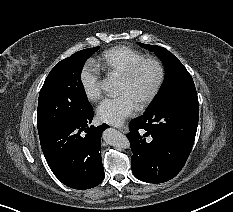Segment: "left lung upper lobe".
Returning <instances> with one entry per match:
<instances>
[{
	"label": "left lung upper lobe",
	"instance_id": "1",
	"mask_svg": "<svg viewBox=\"0 0 233 212\" xmlns=\"http://www.w3.org/2000/svg\"><path fill=\"white\" fill-rule=\"evenodd\" d=\"M138 44L155 52L163 61L166 69L165 81L149 108L171 101L198 103L196 89L191 75L172 53L156 45Z\"/></svg>",
	"mask_w": 233,
	"mask_h": 212
}]
</instances>
